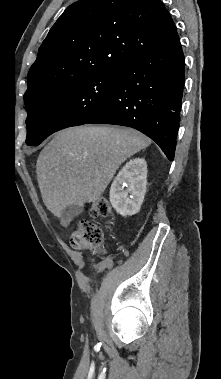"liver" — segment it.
Segmentation results:
<instances>
[{
  "mask_svg": "<svg viewBox=\"0 0 221 379\" xmlns=\"http://www.w3.org/2000/svg\"><path fill=\"white\" fill-rule=\"evenodd\" d=\"M150 144L147 136L131 128L82 126L58 132L36 164L45 206L61 217L66 206L96 201L119 166Z\"/></svg>",
  "mask_w": 221,
  "mask_h": 379,
  "instance_id": "liver-1",
  "label": "liver"
}]
</instances>
